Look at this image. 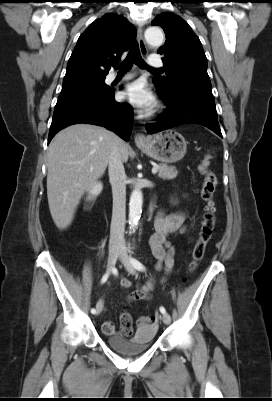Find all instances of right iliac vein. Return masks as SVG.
Listing matches in <instances>:
<instances>
[{
  "label": "right iliac vein",
  "instance_id": "obj_1",
  "mask_svg": "<svg viewBox=\"0 0 272 401\" xmlns=\"http://www.w3.org/2000/svg\"><path fill=\"white\" fill-rule=\"evenodd\" d=\"M119 256V249L118 247H111L109 249V253H108V261H107V270L108 273H110L113 269V267L116 264V261L118 259ZM97 311L96 313L99 314V312L101 311V309L98 307V305L96 306Z\"/></svg>",
  "mask_w": 272,
  "mask_h": 401
}]
</instances>
